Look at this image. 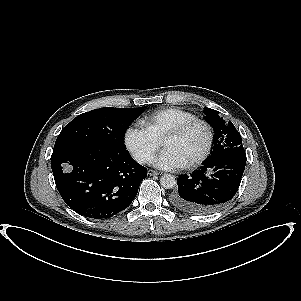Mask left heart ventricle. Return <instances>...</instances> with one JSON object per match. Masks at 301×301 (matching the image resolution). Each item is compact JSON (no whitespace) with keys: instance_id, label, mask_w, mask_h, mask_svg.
I'll return each instance as SVG.
<instances>
[{"instance_id":"left-heart-ventricle-1","label":"left heart ventricle","mask_w":301,"mask_h":301,"mask_svg":"<svg viewBox=\"0 0 301 301\" xmlns=\"http://www.w3.org/2000/svg\"><path fill=\"white\" fill-rule=\"evenodd\" d=\"M206 134L204 128L195 124L186 129L182 134L167 139L165 149H170L185 161L196 157L204 148Z\"/></svg>"}]
</instances>
